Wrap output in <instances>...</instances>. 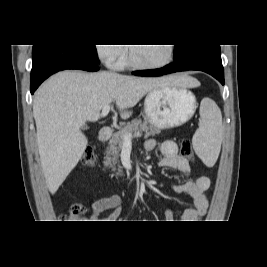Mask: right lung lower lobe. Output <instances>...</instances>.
<instances>
[{"label": "right lung lower lobe", "instance_id": "right-lung-lower-lobe-1", "mask_svg": "<svg viewBox=\"0 0 267 267\" xmlns=\"http://www.w3.org/2000/svg\"><path fill=\"white\" fill-rule=\"evenodd\" d=\"M32 58L31 94L45 79L58 71L79 69L94 72L99 70L98 63L68 45H33Z\"/></svg>", "mask_w": 267, "mask_h": 267}]
</instances>
